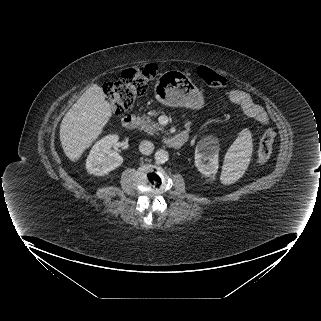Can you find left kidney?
<instances>
[{
  "mask_svg": "<svg viewBox=\"0 0 321 321\" xmlns=\"http://www.w3.org/2000/svg\"><path fill=\"white\" fill-rule=\"evenodd\" d=\"M207 160L208 163L205 164L204 161ZM195 166L204 176L213 177L216 175L219 167V146L217 139L208 136L199 141L195 149Z\"/></svg>",
  "mask_w": 321,
  "mask_h": 321,
  "instance_id": "obj_1",
  "label": "left kidney"
}]
</instances>
